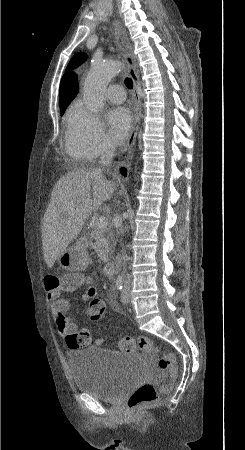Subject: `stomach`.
Instances as JSON below:
<instances>
[{
    "instance_id": "stomach-1",
    "label": "stomach",
    "mask_w": 245,
    "mask_h": 450,
    "mask_svg": "<svg viewBox=\"0 0 245 450\" xmlns=\"http://www.w3.org/2000/svg\"><path fill=\"white\" fill-rule=\"evenodd\" d=\"M58 264L68 271L84 270L89 263V256L85 247L77 242L58 258Z\"/></svg>"
}]
</instances>
